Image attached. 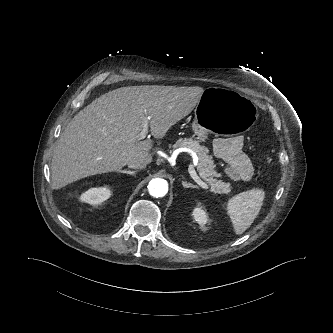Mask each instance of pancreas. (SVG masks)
I'll list each match as a JSON object with an SVG mask.
<instances>
[{
    "label": "pancreas",
    "instance_id": "cf45deb5",
    "mask_svg": "<svg viewBox=\"0 0 333 333\" xmlns=\"http://www.w3.org/2000/svg\"><path fill=\"white\" fill-rule=\"evenodd\" d=\"M174 147H187L196 153L199 161L197 171L200 177L211 186L213 192L220 194L231 192L229 183L213 178L217 175V172L214 170L212 157L207 155V150L197 141H193L191 138L179 139L174 144Z\"/></svg>",
    "mask_w": 333,
    "mask_h": 333
}]
</instances>
